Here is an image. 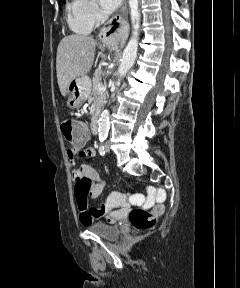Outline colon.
<instances>
[{
    "label": "colon",
    "instance_id": "1",
    "mask_svg": "<svg viewBox=\"0 0 240 288\" xmlns=\"http://www.w3.org/2000/svg\"><path fill=\"white\" fill-rule=\"evenodd\" d=\"M61 132L64 138L71 143L80 142L86 138L85 125L70 118L61 122ZM162 212L163 207L161 205H157L150 210L136 208L130 212L129 221L133 229L146 231L155 225Z\"/></svg>",
    "mask_w": 240,
    "mask_h": 288
}]
</instances>
